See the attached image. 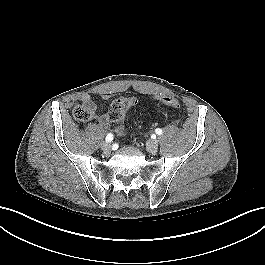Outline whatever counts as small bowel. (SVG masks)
<instances>
[{"mask_svg": "<svg viewBox=\"0 0 265 265\" xmlns=\"http://www.w3.org/2000/svg\"><path fill=\"white\" fill-rule=\"evenodd\" d=\"M163 96H158V100L162 102L161 98ZM81 102L83 103V105H86L90 108H92L93 110L95 109V101H94V97L90 94H84L81 96ZM109 125V120L107 118L106 115H101L98 117V126L101 128H106Z\"/></svg>", "mask_w": 265, "mask_h": 265, "instance_id": "small-bowel-1", "label": "small bowel"}]
</instances>
